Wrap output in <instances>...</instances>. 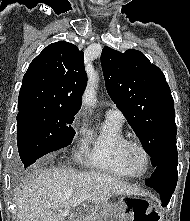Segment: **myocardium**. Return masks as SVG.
<instances>
[{
	"mask_svg": "<svg viewBox=\"0 0 190 221\" xmlns=\"http://www.w3.org/2000/svg\"><path fill=\"white\" fill-rule=\"evenodd\" d=\"M135 149H139L145 157V163L143 167H139L133 159V151ZM123 158L127 166L132 171H134L137 175L144 174L150 167V163H151L150 152L148 148L146 147V145L139 140L128 139L126 141L123 147Z\"/></svg>",
	"mask_w": 190,
	"mask_h": 221,
	"instance_id": "f54148a6",
	"label": "myocardium"
}]
</instances>
